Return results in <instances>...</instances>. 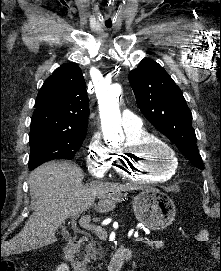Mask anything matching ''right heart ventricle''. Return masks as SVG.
<instances>
[{"mask_svg":"<svg viewBox=\"0 0 221 271\" xmlns=\"http://www.w3.org/2000/svg\"><path fill=\"white\" fill-rule=\"evenodd\" d=\"M151 135H153L148 130H143L138 133L130 134L126 137L125 143L123 144H136L138 147L139 144H150L152 142ZM131 152V149H123L122 153L126 151ZM158 167H174V162H158L156 164ZM123 164H120L116 169L118 172H124L126 169ZM182 167V165H181ZM120 179H133V183H171V174L168 171H164L162 174L158 171L155 174V171H148V174H140V171H133V174H120Z\"/></svg>","mask_w":221,"mask_h":271,"instance_id":"1","label":"right heart ventricle"}]
</instances>
